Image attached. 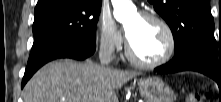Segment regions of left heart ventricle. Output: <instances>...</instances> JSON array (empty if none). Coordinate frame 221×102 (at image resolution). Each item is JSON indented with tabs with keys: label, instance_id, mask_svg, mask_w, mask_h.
Returning <instances> with one entry per match:
<instances>
[{
	"label": "left heart ventricle",
	"instance_id": "1",
	"mask_svg": "<svg viewBox=\"0 0 221 102\" xmlns=\"http://www.w3.org/2000/svg\"><path fill=\"white\" fill-rule=\"evenodd\" d=\"M126 28L131 46L141 59L155 61L165 54L168 40L158 23L136 14L127 22Z\"/></svg>",
	"mask_w": 221,
	"mask_h": 102
}]
</instances>
